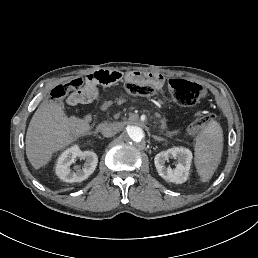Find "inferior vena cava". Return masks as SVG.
Segmentation results:
<instances>
[{"mask_svg":"<svg viewBox=\"0 0 258 258\" xmlns=\"http://www.w3.org/2000/svg\"><path fill=\"white\" fill-rule=\"evenodd\" d=\"M119 131L120 128H115L114 124H108L102 128V134L105 137H111Z\"/></svg>","mask_w":258,"mask_h":258,"instance_id":"602c4592","label":"inferior vena cava"}]
</instances>
